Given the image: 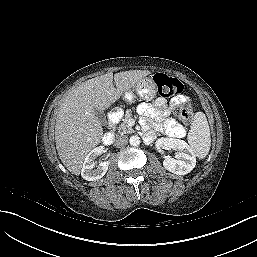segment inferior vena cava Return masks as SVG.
Returning a JSON list of instances; mask_svg holds the SVG:
<instances>
[{
	"mask_svg": "<svg viewBox=\"0 0 257 257\" xmlns=\"http://www.w3.org/2000/svg\"><path fill=\"white\" fill-rule=\"evenodd\" d=\"M127 143H128V137H127L126 135H121V136H118V137L115 139L114 145H115L116 147H123V146H125Z\"/></svg>",
	"mask_w": 257,
	"mask_h": 257,
	"instance_id": "obj_1",
	"label": "inferior vena cava"
}]
</instances>
